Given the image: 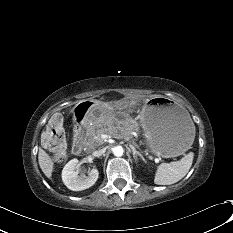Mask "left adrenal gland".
Here are the masks:
<instances>
[{"instance_id": "1", "label": "left adrenal gland", "mask_w": 233, "mask_h": 233, "mask_svg": "<svg viewBox=\"0 0 233 233\" xmlns=\"http://www.w3.org/2000/svg\"><path fill=\"white\" fill-rule=\"evenodd\" d=\"M130 148L132 149L133 158H134L135 161L138 160V156H139L143 161H145L143 155H142L139 151L136 150V148H135L134 145H130Z\"/></svg>"}]
</instances>
